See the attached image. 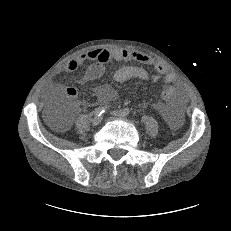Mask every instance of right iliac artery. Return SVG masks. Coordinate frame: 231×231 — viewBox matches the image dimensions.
<instances>
[{"label": "right iliac artery", "mask_w": 231, "mask_h": 231, "mask_svg": "<svg viewBox=\"0 0 231 231\" xmlns=\"http://www.w3.org/2000/svg\"><path fill=\"white\" fill-rule=\"evenodd\" d=\"M107 110V107H98L95 109L94 114L95 116H101L105 111Z\"/></svg>", "instance_id": "82829eb1"}]
</instances>
